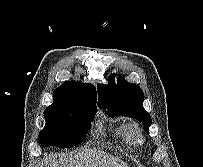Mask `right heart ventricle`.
<instances>
[{
    "instance_id": "obj_1",
    "label": "right heart ventricle",
    "mask_w": 203,
    "mask_h": 167,
    "mask_svg": "<svg viewBox=\"0 0 203 167\" xmlns=\"http://www.w3.org/2000/svg\"><path fill=\"white\" fill-rule=\"evenodd\" d=\"M117 133H118L121 137L125 138L126 140H129V134H128V131H127L126 126H124V125L120 126V127L117 129Z\"/></svg>"
}]
</instances>
